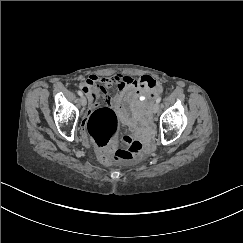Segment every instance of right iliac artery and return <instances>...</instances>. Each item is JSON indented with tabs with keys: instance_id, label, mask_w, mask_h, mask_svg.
I'll return each instance as SVG.
<instances>
[{
	"instance_id": "right-iliac-artery-1",
	"label": "right iliac artery",
	"mask_w": 243,
	"mask_h": 243,
	"mask_svg": "<svg viewBox=\"0 0 243 243\" xmlns=\"http://www.w3.org/2000/svg\"><path fill=\"white\" fill-rule=\"evenodd\" d=\"M79 96H83V93L81 91H77Z\"/></svg>"
}]
</instances>
